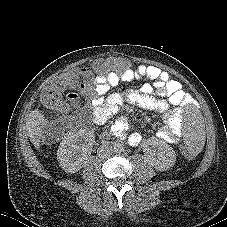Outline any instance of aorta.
I'll return each instance as SVG.
<instances>
[{
    "mask_svg": "<svg viewBox=\"0 0 227 227\" xmlns=\"http://www.w3.org/2000/svg\"><path fill=\"white\" fill-rule=\"evenodd\" d=\"M114 149H115V151H116V152H118V151H120V150H121V147H119V146H115V148H114Z\"/></svg>",
    "mask_w": 227,
    "mask_h": 227,
    "instance_id": "aorta-1",
    "label": "aorta"
}]
</instances>
